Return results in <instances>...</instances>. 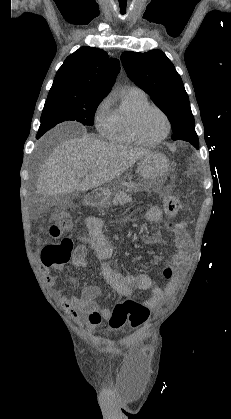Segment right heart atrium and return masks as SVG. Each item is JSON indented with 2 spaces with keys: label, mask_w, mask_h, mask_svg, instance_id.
<instances>
[{
  "label": "right heart atrium",
  "mask_w": 231,
  "mask_h": 419,
  "mask_svg": "<svg viewBox=\"0 0 231 419\" xmlns=\"http://www.w3.org/2000/svg\"><path fill=\"white\" fill-rule=\"evenodd\" d=\"M112 98L106 96L96 107L94 122L99 133L104 137H109L114 124L113 110L111 109Z\"/></svg>",
  "instance_id": "d8ad5b80"
}]
</instances>
